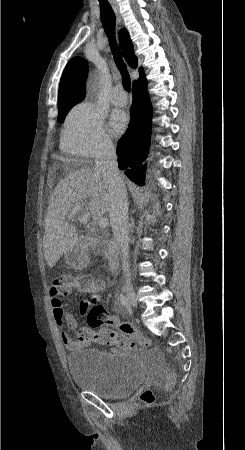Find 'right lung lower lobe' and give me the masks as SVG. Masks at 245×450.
<instances>
[{"mask_svg":"<svg viewBox=\"0 0 245 450\" xmlns=\"http://www.w3.org/2000/svg\"><path fill=\"white\" fill-rule=\"evenodd\" d=\"M133 94L132 120L117 145L118 167L125 170V174L136 184L143 185L146 165L141 164L149 151L152 117V107L144 74L134 82Z\"/></svg>","mask_w":245,"mask_h":450,"instance_id":"obj_1","label":"right lung lower lobe"}]
</instances>
